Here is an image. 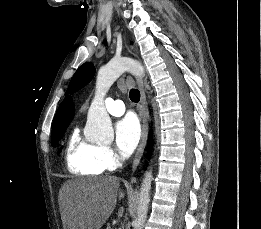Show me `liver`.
Returning <instances> with one entry per match:
<instances>
[{"label": "liver", "mask_w": 261, "mask_h": 229, "mask_svg": "<svg viewBox=\"0 0 261 229\" xmlns=\"http://www.w3.org/2000/svg\"><path fill=\"white\" fill-rule=\"evenodd\" d=\"M118 177L73 179L64 185L66 229H101L117 201L123 199Z\"/></svg>", "instance_id": "obj_1"}]
</instances>
